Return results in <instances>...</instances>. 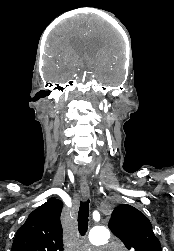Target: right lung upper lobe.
Returning a JSON list of instances; mask_svg holds the SVG:
<instances>
[{
    "mask_svg": "<svg viewBox=\"0 0 174 251\" xmlns=\"http://www.w3.org/2000/svg\"><path fill=\"white\" fill-rule=\"evenodd\" d=\"M62 201L50 198L30 213L18 229L12 251H63Z\"/></svg>",
    "mask_w": 174,
    "mask_h": 251,
    "instance_id": "1",
    "label": "right lung upper lobe"
}]
</instances>
